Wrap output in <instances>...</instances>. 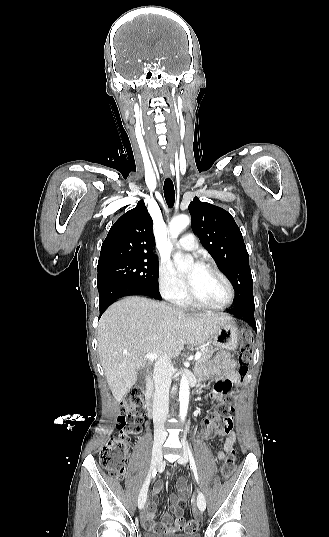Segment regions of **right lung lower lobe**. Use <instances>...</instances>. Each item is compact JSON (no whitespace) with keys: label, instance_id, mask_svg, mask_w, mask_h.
<instances>
[{"label":"right lung lower lobe","instance_id":"98d812e1","mask_svg":"<svg viewBox=\"0 0 329 537\" xmlns=\"http://www.w3.org/2000/svg\"><path fill=\"white\" fill-rule=\"evenodd\" d=\"M99 291L100 316L105 309L117 299L129 295H144L155 299H161L159 290L148 286L135 285L115 280H103L97 283Z\"/></svg>","mask_w":329,"mask_h":537}]
</instances>
